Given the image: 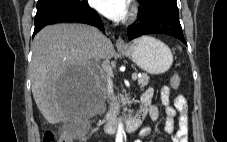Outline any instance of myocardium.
Here are the masks:
<instances>
[{
	"instance_id": "1",
	"label": "myocardium",
	"mask_w": 227,
	"mask_h": 142,
	"mask_svg": "<svg viewBox=\"0 0 227 142\" xmlns=\"http://www.w3.org/2000/svg\"><path fill=\"white\" fill-rule=\"evenodd\" d=\"M136 14V9H134V11H133V16Z\"/></svg>"
}]
</instances>
